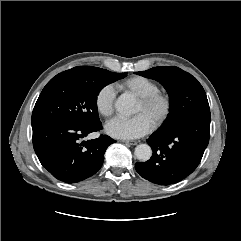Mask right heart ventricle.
Here are the masks:
<instances>
[{
    "label": "right heart ventricle",
    "instance_id": "right-heart-ventricle-1",
    "mask_svg": "<svg viewBox=\"0 0 241 241\" xmlns=\"http://www.w3.org/2000/svg\"><path fill=\"white\" fill-rule=\"evenodd\" d=\"M118 88L131 92L138 98L145 97L158 91V85L144 76H133L117 84Z\"/></svg>",
    "mask_w": 241,
    "mask_h": 241
}]
</instances>
